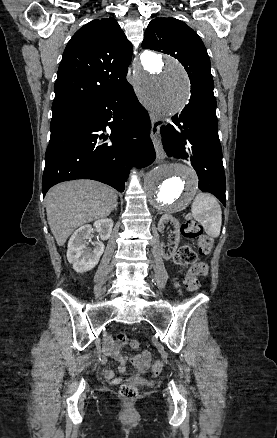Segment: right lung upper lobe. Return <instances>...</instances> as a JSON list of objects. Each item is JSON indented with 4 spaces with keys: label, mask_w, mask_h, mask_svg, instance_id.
Segmentation results:
<instances>
[{
    "label": "right lung upper lobe",
    "mask_w": 277,
    "mask_h": 438,
    "mask_svg": "<svg viewBox=\"0 0 277 438\" xmlns=\"http://www.w3.org/2000/svg\"><path fill=\"white\" fill-rule=\"evenodd\" d=\"M132 44L114 18L95 19L68 42L55 82L52 111L76 110L126 81ZM74 63L84 69H72Z\"/></svg>",
    "instance_id": "cb5924a9"
}]
</instances>
